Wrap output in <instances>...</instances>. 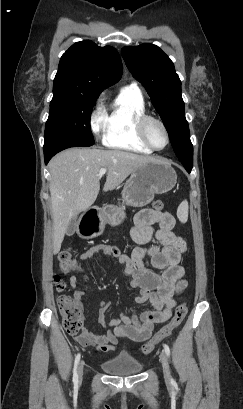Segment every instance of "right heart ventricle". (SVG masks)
Returning a JSON list of instances; mask_svg holds the SVG:
<instances>
[{"label":"right heart ventricle","instance_id":"1","mask_svg":"<svg viewBox=\"0 0 243 409\" xmlns=\"http://www.w3.org/2000/svg\"><path fill=\"white\" fill-rule=\"evenodd\" d=\"M108 126L104 144L110 148L150 154L151 150L138 135L137 119L146 113L139 89L126 86L108 106Z\"/></svg>","mask_w":243,"mask_h":409}]
</instances>
